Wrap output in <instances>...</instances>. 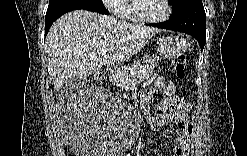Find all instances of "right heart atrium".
Instances as JSON below:
<instances>
[{
    "label": "right heart atrium",
    "instance_id": "obj_1",
    "mask_svg": "<svg viewBox=\"0 0 247 156\" xmlns=\"http://www.w3.org/2000/svg\"><path fill=\"white\" fill-rule=\"evenodd\" d=\"M104 4L112 13L121 15L124 10L125 2L121 0H106Z\"/></svg>",
    "mask_w": 247,
    "mask_h": 156
}]
</instances>
